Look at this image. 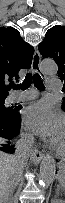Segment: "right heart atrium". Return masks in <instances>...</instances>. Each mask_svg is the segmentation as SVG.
Listing matches in <instances>:
<instances>
[{"mask_svg": "<svg viewBox=\"0 0 65 203\" xmlns=\"http://www.w3.org/2000/svg\"><path fill=\"white\" fill-rule=\"evenodd\" d=\"M26 140H30V136L26 135L25 136Z\"/></svg>", "mask_w": 65, "mask_h": 203, "instance_id": "right-heart-atrium-1", "label": "right heart atrium"}]
</instances>
